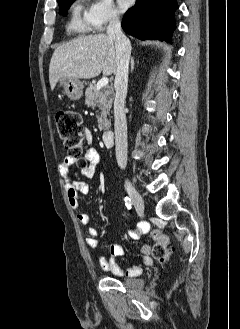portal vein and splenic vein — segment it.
<instances>
[{"instance_id":"18ae733b","label":"portal vein and splenic vein","mask_w":240,"mask_h":329,"mask_svg":"<svg viewBox=\"0 0 240 329\" xmlns=\"http://www.w3.org/2000/svg\"><path fill=\"white\" fill-rule=\"evenodd\" d=\"M109 83V79L107 77H103L102 79H100L98 81V83L96 84V89L99 91L100 89L104 88L105 86H107Z\"/></svg>"}]
</instances>
